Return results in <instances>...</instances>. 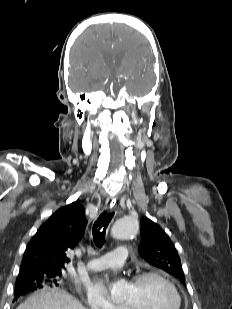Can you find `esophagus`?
I'll use <instances>...</instances> for the list:
<instances>
[{
    "label": "esophagus",
    "mask_w": 232,
    "mask_h": 309,
    "mask_svg": "<svg viewBox=\"0 0 232 309\" xmlns=\"http://www.w3.org/2000/svg\"><path fill=\"white\" fill-rule=\"evenodd\" d=\"M115 206V199L112 197H108L105 202V209H112Z\"/></svg>",
    "instance_id": "esophagus-1"
}]
</instances>
